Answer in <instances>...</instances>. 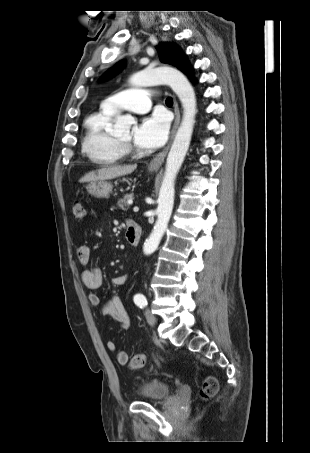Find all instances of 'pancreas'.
Returning <instances> with one entry per match:
<instances>
[{
  "mask_svg": "<svg viewBox=\"0 0 310 453\" xmlns=\"http://www.w3.org/2000/svg\"><path fill=\"white\" fill-rule=\"evenodd\" d=\"M133 198H134V195L132 193L126 194L122 199L118 200L117 206L120 209L127 211L130 207V205L128 204V200L133 199Z\"/></svg>",
  "mask_w": 310,
  "mask_h": 453,
  "instance_id": "1",
  "label": "pancreas"
}]
</instances>
